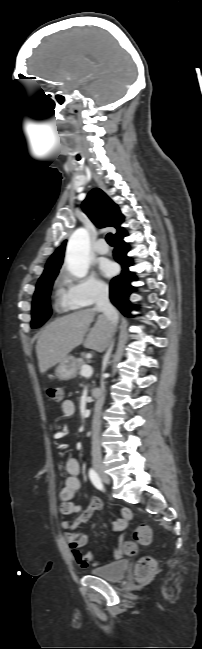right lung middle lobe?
<instances>
[{"label":"right lung middle lobe","mask_w":202,"mask_h":649,"mask_svg":"<svg viewBox=\"0 0 202 649\" xmlns=\"http://www.w3.org/2000/svg\"><path fill=\"white\" fill-rule=\"evenodd\" d=\"M57 274L51 273L38 280L32 302V328L42 326L51 315L50 292Z\"/></svg>","instance_id":"dd1d6c3e"}]
</instances>
